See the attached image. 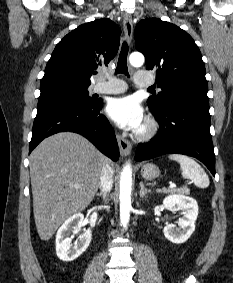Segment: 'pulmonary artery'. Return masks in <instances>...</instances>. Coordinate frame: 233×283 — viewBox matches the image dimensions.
Listing matches in <instances>:
<instances>
[{
    "label": "pulmonary artery",
    "mask_w": 233,
    "mask_h": 283,
    "mask_svg": "<svg viewBox=\"0 0 233 283\" xmlns=\"http://www.w3.org/2000/svg\"><path fill=\"white\" fill-rule=\"evenodd\" d=\"M104 82L97 83L94 86V91L104 94H119L123 93L127 89V85L124 81L117 79L109 74L102 75ZM134 83L137 86H149L154 83V80L143 72H137L135 74Z\"/></svg>",
    "instance_id": "1"
}]
</instances>
